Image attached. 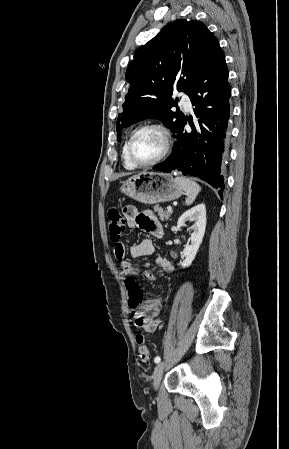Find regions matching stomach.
Returning a JSON list of instances; mask_svg holds the SVG:
<instances>
[{"instance_id": "0dacf381", "label": "stomach", "mask_w": 289, "mask_h": 449, "mask_svg": "<svg viewBox=\"0 0 289 449\" xmlns=\"http://www.w3.org/2000/svg\"><path fill=\"white\" fill-rule=\"evenodd\" d=\"M120 191L138 202L157 204L179 198L183 188L171 174L142 172L123 181Z\"/></svg>"}]
</instances>
